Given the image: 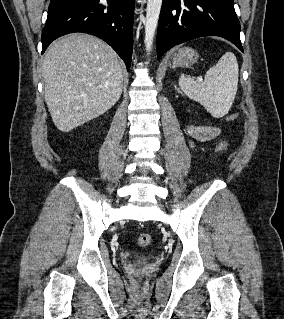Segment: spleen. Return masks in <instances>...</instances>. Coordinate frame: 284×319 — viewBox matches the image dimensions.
<instances>
[{
    "mask_svg": "<svg viewBox=\"0 0 284 319\" xmlns=\"http://www.w3.org/2000/svg\"><path fill=\"white\" fill-rule=\"evenodd\" d=\"M239 69L236 56L225 53L216 65L209 68L203 82L182 74L181 90L192 100L200 103L215 118L225 116L231 108L238 87Z\"/></svg>",
    "mask_w": 284,
    "mask_h": 319,
    "instance_id": "3e777b00",
    "label": "spleen"
}]
</instances>
